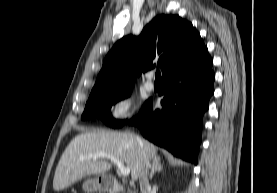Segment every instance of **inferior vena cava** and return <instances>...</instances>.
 Instances as JSON below:
<instances>
[{"mask_svg": "<svg viewBox=\"0 0 277 193\" xmlns=\"http://www.w3.org/2000/svg\"><path fill=\"white\" fill-rule=\"evenodd\" d=\"M136 139L140 141L138 137H136ZM139 184L141 193H151V186L149 184L147 177V167L142 171V173L139 176Z\"/></svg>", "mask_w": 277, "mask_h": 193, "instance_id": "602c4592", "label": "inferior vena cava"}]
</instances>
